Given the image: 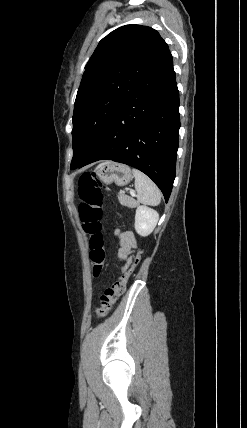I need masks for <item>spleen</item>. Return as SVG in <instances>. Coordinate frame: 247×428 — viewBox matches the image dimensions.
Instances as JSON below:
<instances>
[{
  "label": "spleen",
  "mask_w": 247,
  "mask_h": 428,
  "mask_svg": "<svg viewBox=\"0 0 247 428\" xmlns=\"http://www.w3.org/2000/svg\"><path fill=\"white\" fill-rule=\"evenodd\" d=\"M137 199L140 203L157 206L161 201V192L156 184L144 173L133 169Z\"/></svg>",
  "instance_id": "obj_1"
}]
</instances>
